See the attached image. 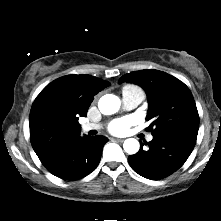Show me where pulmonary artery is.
Listing matches in <instances>:
<instances>
[{"label":"pulmonary artery","instance_id":"pulmonary-artery-1","mask_svg":"<svg viewBox=\"0 0 221 221\" xmlns=\"http://www.w3.org/2000/svg\"><path fill=\"white\" fill-rule=\"evenodd\" d=\"M145 98L144 92L140 89L126 90L122 92V103L125 109L131 110L136 108ZM101 124L98 123H85L81 126L83 132L91 130H98ZM153 139L152 135L147 137L148 141Z\"/></svg>","mask_w":221,"mask_h":221}]
</instances>
